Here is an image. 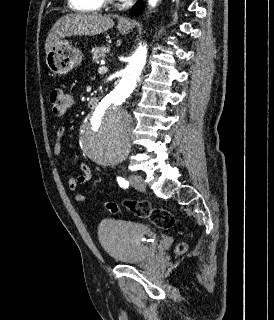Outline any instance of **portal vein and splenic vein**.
Returning <instances> with one entry per match:
<instances>
[{
    "label": "portal vein and splenic vein",
    "instance_id": "obj_1",
    "mask_svg": "<svg viewBox=\"0 0 274 320\" xmlns=\"http://www.w3.org/2000/svg\"><path fill=\"white\" fill-rule=\"evenodd\" d=\"M104 64H105V62H101V64H100L101 68H99V70H105Z\"/></svg>",
    "mask_w": 274,
    "mask_h": 320
}]
</instances>
